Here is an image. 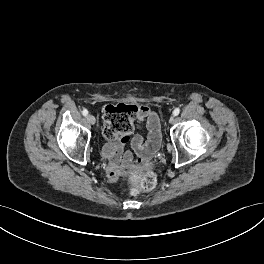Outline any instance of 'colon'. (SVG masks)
I'll return each instance as SVG.
<instances>
[{
    "label": "colon",
    "mask_w": 264,
    "mask_h": 264,
    "mask_svg": "<svg viewBox=\"0 0 264 264\" xmlns=\"http://www.w3.org/2000/svg\"><path fill=\"white\" fill-rule=\"evenodd\" d=\"M137 107L131 104L108 105L104 115L107 122L103 134L110 139L119 135H127L133 131ZM122 178L132 194L152 190L157 184V177L153 172L141 167H132L121 171Z\"/></svg>",
    "instance_id": "1"
}]
</instances>
